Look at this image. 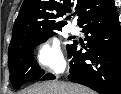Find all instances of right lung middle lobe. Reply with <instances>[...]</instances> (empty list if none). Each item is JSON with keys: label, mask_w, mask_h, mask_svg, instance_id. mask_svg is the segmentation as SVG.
<instances>
[{"label": "right lung middle lobe", "mask_w": 121, "mask_h": 94, "mask_svg": "<svg viewBox=\"0 0 121 94\" xmlns=\"http://www.w3.org/2000/svg\"><path fill=\"white\" fill-rule=\"evenodd\" d=\"M53 34H55L53 31H31L10 44L8 66L10 81L15 89L20 88L26 82L39 79L44 75V70L31 57L32 48L45 42ZM72 46L73 44L67 45L68 52Z\"/></svg>", "instance_id": "obj_1"}]
</instances>
